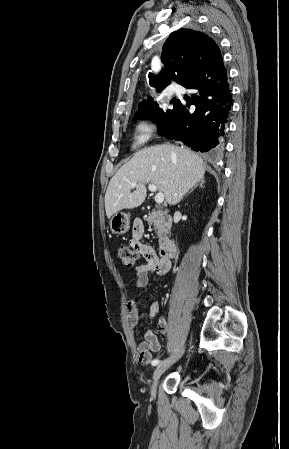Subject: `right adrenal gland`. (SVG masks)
<instances>
[{"instance_id": "1", "label": "right adrenal gland", "mask_w": 289, "mask_h": 449, "mask_svg": "<svg viewBox=\"0 0 289 449\" xmlns=\"http://www.w3.org/2000/svg\"><path fill=\"white\" fill-rule=\"evenodd\" d=\"M204 182H205L204 180H201L200 182H198V184L195 185V187H193L187 194L191 193L197 186L203 188Z\"/></svg>"}]
</instances>
